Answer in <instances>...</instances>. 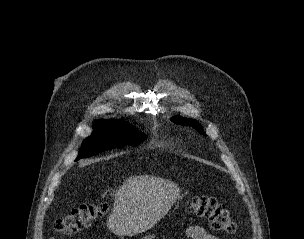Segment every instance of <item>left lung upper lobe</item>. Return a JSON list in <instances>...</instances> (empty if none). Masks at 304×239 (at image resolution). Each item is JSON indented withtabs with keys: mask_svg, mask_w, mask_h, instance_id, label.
Returning a JSON list of instances; mask_svg holds the SVG:
<instances>
[{
	"mask_svg": "<svg viewBox=\"0 0 304 239\" xmlns=\"http://www.w3.org/2000/svg\"><path fill=\"white\" fill-rule=\"evenodd\" d=\"M171 120L176 124L194 126L195 129L199 131L201 134H205L203 129L201 128V125L194 119H187V118L175 116L172 117Z\"/></svg>",
	"mask_w": 304,
	"mask_h": 239,
	"instance_id": "obj_1",
	"label": "left lung upper lobe"
}]
</instances>
